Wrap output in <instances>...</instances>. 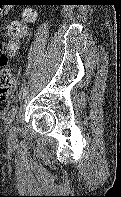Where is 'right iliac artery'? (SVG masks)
I'll return each instance as SVG.
<instances>
[{
  "label": "right iliac artery",
  "instance_id": "1",
  "mask_svg": "<svg viewBox=\"0 0 121 197\" xmlns=\"http://www.w3.org/2000/svg\"><path fill=\"white\" fill-rule=\"evenodd\" d=\"M16 109L15 108H12L8 114V123L10 124L14 118H15V115H16Z\"/></svg>",
  "mask_w": 121,
  "mask_h": 197
}]
</instances>
